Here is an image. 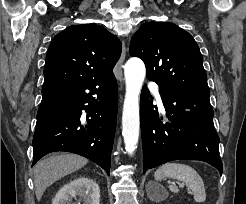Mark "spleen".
I'll use <instances>...</instances> for the list:
<instances>
[{
  "mask_svg": "<svg viewBox=\"0 0 246 204\" xmlns=\"http://www.w3.org/2000/svg\"><path fill=\"white\" fill-rule=\"evenodd\" d=\"M172 178L182 181L192 191L196 202H204L206 200V192L204 182L198 172L189 165L182 163L169 162L161 165L154 173V178L161 181L164 178ZM169 190L178 193L179 189L176 185H169Z\"/></svg>",
  "mask_w": 246,
  "mask_h": 204,
  "instance_id": "obj_1",
  "label": "spleen"
}]
</instances>
